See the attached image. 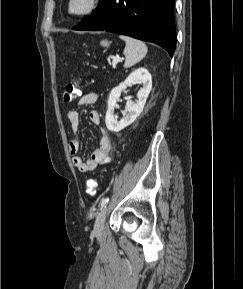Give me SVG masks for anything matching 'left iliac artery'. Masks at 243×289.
Masks as SVG:
<instances>
[{
	"mask_svg": "<svg viewBox=\"0 0 243 289\" xmlns=\"http://www.w3.org/2000/svg\"><path fill=\"white\" fill-rule=\"evenodd\" d=\"M108 201H109V198H104V199H102V201H101V208L106 207Z\"/></svg>",
	"mask_w": 243,
	"mask_h": 289,
	"instance_id": "44dca946",
	"label": "left iliac artery"
}]
</instances>
